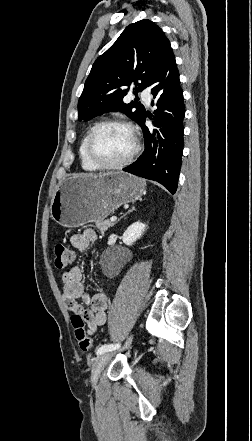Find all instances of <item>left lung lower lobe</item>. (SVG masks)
I'll return each mask as SVG.
<instances>
[{
	"label": "left lung lower lobe",
	"mask_w": 252,
	"mask_h": 441,
	"mask_svg": "<svg viewBox=\"0 0 252 441\" xmlns=\"http://www.w3.org/2000/svg\"><path fill=\"white\" fill-rule=\"evenodd\" d=\"M149 87L154 98L157 97L158 109L154 112V125L165 127L161 129L165 139L160 138L158 148L157 143H154L153 148L151 147L153 136L145 126L147 117L145 114L139 124L144 131L145 151L136 162L123 170L157 181L174 194L177 189L183 153L185 106L179 72L169 41L164 44L160 52ZM152 105H154V100H152ZM155 132L154 130L153 135Z\"/></svg>",
	"instance_id": "left-lung-lower-lobe-1"
}]
</instances>
